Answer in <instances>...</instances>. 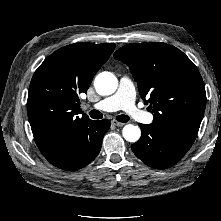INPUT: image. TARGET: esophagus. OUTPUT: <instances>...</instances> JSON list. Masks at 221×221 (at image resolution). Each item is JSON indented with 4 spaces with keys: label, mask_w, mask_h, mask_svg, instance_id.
<instances>
[{
    "label": "esophagus",
    "mask_w": 221,
    "mask_h": 221,
    "mask_svg": "<svg viewBox=\"0 0 221 221\" xmlns=\"http://www.w3.org/2000/svg\"><path fill=\"white\" fill-rule=\"evenodd\" d=\"M111 123H112V125L117 126V127H122L125 125V123H122V122H119L116 120H112Z\"/></svg>",
    "instance_id": "esophagus-1"
}]
</instances>
